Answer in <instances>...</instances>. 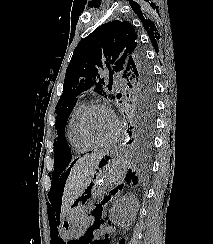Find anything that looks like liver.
I'll return each mask as SVG.
<instances>
[{
	"label": "liver",
	"mask_w": 213,
	"mask_h": 244,
	"mask_svg": "<svg viewBox=\"0 0 213 244\" xmlns=\"http://www.w3.org/2000/svg\"><path fill=\"white\" fill-rule=\"evenodd\" d=\"M106 152H97L90 155H84L72 167L63 192L62 197V219H64L71 204L91 183L98 163Z\"/></svg>",
	"instance_id": "obj_1"
}]
</instances>
